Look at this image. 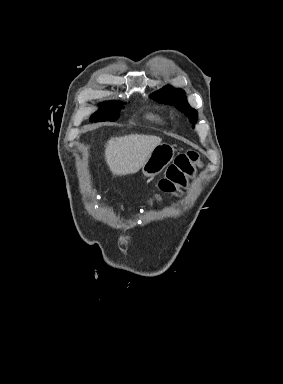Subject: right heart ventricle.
I'll return each instance as SVG.
<instances>
[{"label": "right heart ventricle", "mask_w": 283, "mask_h": 384, "mask_svg": "<svg viewBox=\"0 0 283 384\" xmlns=\"http://www.w3.org/2000/svg\"><path fill=\"white\" fill-rule=\"evenodd\" d=\"M149 116L152 118V119H155L157 121H160L161 118H162V114L159 113V112H152L149 114Z\"/></svg>", "instance_id": "1"}]
</instances>
